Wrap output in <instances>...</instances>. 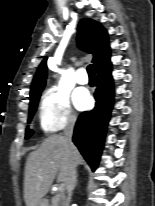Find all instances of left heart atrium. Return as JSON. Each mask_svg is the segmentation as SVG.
I'll use <instances>...</instances> for the list:
<instances>
[{"instance_id": "39dd6f15", "label": "left heart atrium", "mask_w": 155, "mask_h": 206, "mask_svg": "<svg viewBox=\"0 0 155 206\" xmlns=\"http://www.w3.org/2000/svg\"><path fill=\"white\" fill-rule=\"evenodd\" d=\"M73 100L78 109H86L91 103L89 94L83 89H78L75 91Z\"/></svg>"}]
</instances>
